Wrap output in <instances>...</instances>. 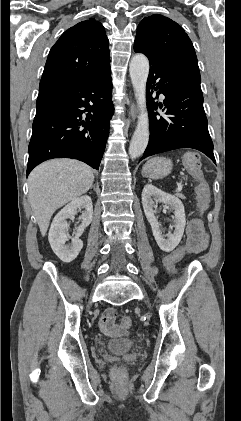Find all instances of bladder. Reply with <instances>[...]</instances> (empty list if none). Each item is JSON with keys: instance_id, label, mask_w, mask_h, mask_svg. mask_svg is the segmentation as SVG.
Here are the masks:
<instances>
[{"instance_id": "obj_1", "label": "bladder", "mask_w": 241, "mask_h": 421, "mask_svg": "<svg viewBox=\"0 0 241 421\" xmlns=\"http://www.w3.org/2000/svg\"><path fill=\"white\" fill-rule=\"evenodd\" d=\"M135 347V343L130 339H114L107 343L109 351L116 354L129 352Z\"/></svg>"}]
</instances>
